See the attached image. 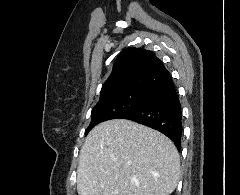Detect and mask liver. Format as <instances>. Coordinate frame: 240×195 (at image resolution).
Listing matches in <instances>:
<instances>
[{
    "label": "liver",
    "mask_w": 240,
    "mask_h": 195,
    "mask_svg": "<svg viewBox=\"0 0 240 195\" xmlns=\"http://www.w3.org/2000/svg\"><path fill=\"white\" fill-rule=\"evenodd\" d=\"M180 177L171 139L130 119H109L89 131L77 167L79 195H169Z\"/></svg>",
    "instance_id": "liver-1"
}]
</instances>
